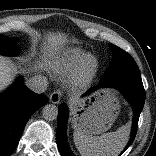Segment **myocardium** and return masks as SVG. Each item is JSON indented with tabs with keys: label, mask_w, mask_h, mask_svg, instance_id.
<instances>
[{
	"label": "myocardium",
	"mask_w": 156,
	"mask_h": 156,
	"mask_svg": "<svg viewBox=\"0 0 156 156\" xmlns=\"http://www.w3.org/2000/svg\"><path fill=\"white\" fill-rule=\"evenodd\" d=\"M94 73V65H84L75 75L73 80L74 86L78 88L86 86L92 80Z\"/></svg>",
	"instance_id": "f54148a6"
}]
</instances>
